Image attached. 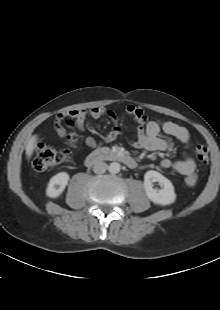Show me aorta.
<instances>
[{
  "mask_svg": "<svg viewBox=\"0 0 220 310\" xmlns=\"http://www.w3.org/2000/svg\"><path fill=\"white\" fill-rule=\"evenodd\" d=\"M121 165L118 162H112L108 166V170L111 174H117L120 172Z\"/></svg>",
  "mask_w": 220,
  "mask_h": 310,
  "instance_id": "obj_1",
  "label": "aorta"
}]
</instances>
